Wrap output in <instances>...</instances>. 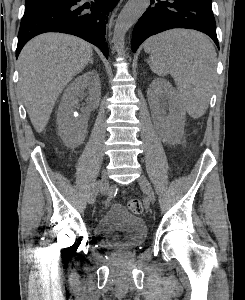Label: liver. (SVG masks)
I'll list each match as a JSON object with an SVG mask.
<instances>
[{
  "mask_svg": "<svg viewBox=\"0 0 245 300\" xmlns=\"http://www.w3.org/2000/svg\"><path fill=\"white\" fill-rule=\"evenodd\" d=\"M92 47L67 34L45 33L30 40L19 58V88L31 123L41 133L66 85L91 61Z\"/></svg>",
  "mask_w": 245,
  "mask_h": 300,
  "instance_id": "obj_1",
  "label": "liver"
}]
</instances>
